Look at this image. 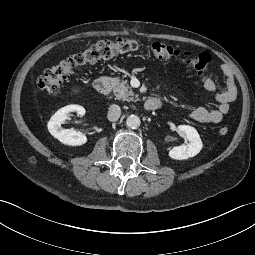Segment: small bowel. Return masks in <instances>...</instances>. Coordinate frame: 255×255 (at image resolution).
Segmentation results:
<instances>
[{
    "label": "small bowel",
    "mask_w": 255,
    "mask_h": 255,
    "mask_svg": "<svg viewBox=\"0 0 255 255\" xmlns=\"http://www.w3.org/2000/svg\"><path fill=\"white\" fill-rule=\"evenodd\" d=\"M220 70L225 77L224 90L218 89L216 82L206 74L199 78L203 87L214 94L218 106L216 108L197 107L191 110L190 117L196 122L204 124H216L221 122L224 116L229 112L231 103L237 97L236 80L232 69L227 65H221ZM158 99L161 104V98Z\"/></svg>",
    "instance_id": "obj_1"
}]
</instances>
